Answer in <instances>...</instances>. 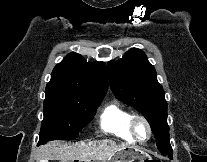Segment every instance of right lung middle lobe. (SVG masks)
Segmentation results:
<instances>
[{"label":"right lung middle lobe","instance_id":"dd1d6c3e","mask_svg":"<svg viewBox=\"0 0 207 162\" xmlns=\"http://www.w3.org/2000/svg\"><path fill=\"white\" fill-rule=\"evenodd\" d=\"M44 119L39 144L54 139L73 140L92 120L103 97L45 92Z\"/></svg>","mask_w":207,"mask_h":162}]
</instances>
